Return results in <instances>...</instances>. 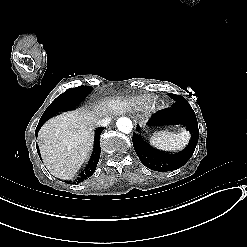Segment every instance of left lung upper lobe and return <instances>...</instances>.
Here are the masks:
<instances>
[{
  "label": "left lung upper lobe",
  "mask_w": 247,
  "mask_h": 247,
  "mask_svg": "<svg viewBox=\"0 0 247 247\" xmlns=\"http://www.w3.org/2000/svg\"><path fill=\"white\" fill-rule=\"evenodd\" d=\"M170 96L175 100L176 103H181V104L188 103L187 100L182 96L173 95V94H170Z\"/></svg>",
  "instance_id": "5c2ea615"
}]
</instances>
